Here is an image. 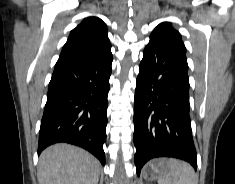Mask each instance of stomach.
<instances>
[{
	"label": "stomach",
	"instance_id": "0dacf381",
	"mask_svg": "<svg viewBox=\"0 0 235 184\" xmlns=\"http://www.w3.org/2000/svg\"><path fill=\"white\" fill-rule=\"evenodd\" d=\"M165 168V158H159V160H152L150 164H147L143 172L145 180H148V182H152V180H157L159 176H162Z\"/></svg>",
	"mask_w": 235,
	"mask_h": 184
}]
</instances>
